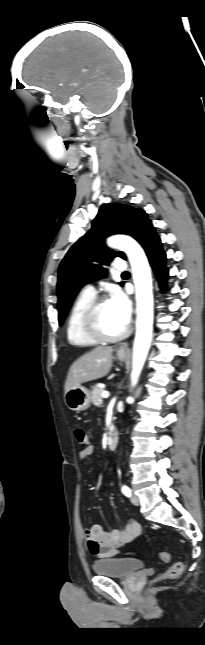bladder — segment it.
Masks as SVG:
<instances>
[{"instance_id": "1", "label": "bladder", "mask_w": 205, "mask_h": 645, "mask_svg": "<svg viewBox=\"0 0 205 645\" xmlns=\"http://www.w3.org/2000/svg\"><path fill=\"white\" fill-rule=\"evenodd\" d=\"M96 574L112 577H129L144 568V562L132 557L105 558L96 561L93 566Z\"/></svg>"}]
</instances>
